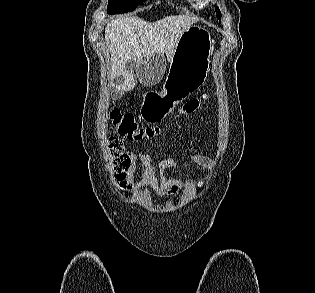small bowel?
<instances>
[{
	"mask_svg": "<svg viewBox=\"0 0 315 293\" xmlns=\"http://www.w3.org/2000/svg\"><path fill=\"white\" fill-rule=\"evenodd\" d=\"M129 156L131 158L135 157L132 151L129 152ZM189 156L193 162L200 166L208 168L211 165V160L204 155L190 154ZM139 160L143 166L141 180L135 183L133 179L129 178L121 182V189H143L145 187H151L158 195L171 198L185 186L181 180L167 178L165 175L167 168L178 165L179 159L177 156L160 162L157 168L152 164L151 156L148 153H141ZM133 169L134 167L131 166L130 170L133 171Z\"/></svg>",
	"mask_w": 315,
	"mask_h": 293,
	"instance_id": "c3829d8e",
	"label": "small bowel"
}]
</instances>
